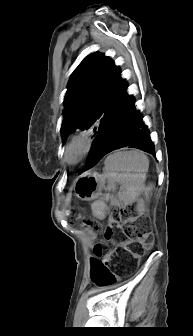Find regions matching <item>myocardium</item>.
Segmentation results:
<instances>
[{
  "mask_svg": "<svg viewBox=\"0 0 193 336\" xmlns=\"http://www.w3.org/2000/svg\"><path fill=\"white\" fill-rule=\"evenodd\" d=\"M92 139L88 133H79L73 136L64 150V159L68 164L74 165L83 160L90 152Z\"/></svg>",
  "mask_w": 193,
  "mask_h": 336,
  "instance_id": "myocardium-1",
  "label": "myocardium"
}]
</instances>
